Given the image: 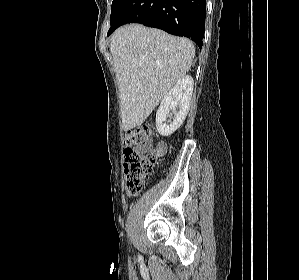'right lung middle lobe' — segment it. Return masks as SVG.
<instances>
[{
  "mask_svg": "<svg viewBox=\"0 0 299 280\" xmlns=\"http://www.w3.org/2000/svg\"><path fill=\"white\" fill-rule=\"evenodd\" d=\"M126 0H113L112 2V9H111V16H110V20H111V26H112V23L118 13V11L120 10L121 6L123 5V3L125 2Z\"/></svg>",
  "mask_w": 299,
  "mask_h": 280,
  "instance_id": "right-lung-middle-lobe-1",
  "label": "right lung middle lobe"
}]
</instances>
